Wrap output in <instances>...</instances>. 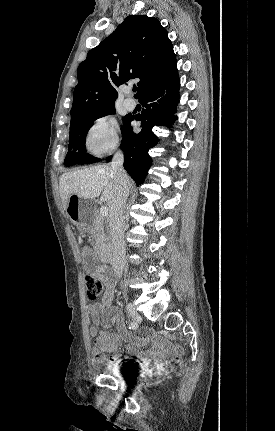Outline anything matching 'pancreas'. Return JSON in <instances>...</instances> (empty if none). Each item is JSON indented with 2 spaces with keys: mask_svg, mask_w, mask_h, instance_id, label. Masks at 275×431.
<instances>
[{
  "mask_svg": "<svg viewBox=\"0 0 275 431\" xmlns=\"http://www.w3.org/2000/svg\"><path fill=\"white\" fill-rule=\"evenodd\" d=\"M93 249L99 252L106 246L107 235L105 232V220L104 217L98 211H95L93 218V226L90 230Z\"/></svg>",
  "mask_w": 275,
  "mask_h": 431,
  "instance_id": "cf45deb5",
  "label": "pancreas"
}]
</instances>
